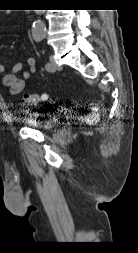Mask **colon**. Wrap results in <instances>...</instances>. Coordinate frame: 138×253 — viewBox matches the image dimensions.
Instances as JSON below:
<instances>
[{"label":"colon","mask_w":138,"mask_h":253,"mask_svg":"<svg viewBox=\"0 0 138 253\" xmlns=\"http://www.w3.org/2000/svg\"><path fill=\"white\" fill-rule=\"evenodd\" d=\"M48 100H49L48 95L40 92L24 94L22 97V102L25 105H36L38 103L46 102ZM97 119H98V110L97 108L93 107L88 111L85 120L87 123L92 124L95 123Z\"/></svg>","instance_id":"1"}]
</instances>
